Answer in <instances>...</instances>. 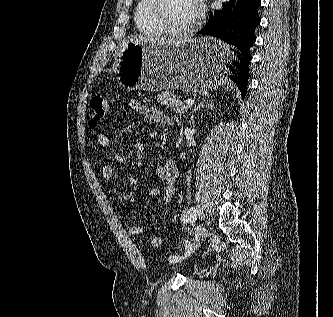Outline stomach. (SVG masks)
Wrapping results in <instances>:
<instances>
[{"label": "stomach", "instance_id": "1", "mask_svg": "<svg viewBox=\"0 0 333 317\" xmlns=\"http://www.w3.org/2000/svg\"><path fill=\"white\" fill-rule=\"evenodd\" d=\"M233 61L231 45L211 38H191L180 46L129 42L121 45L111 71L128 90L202 92L230 88L221 62Z\"/></svg>", "mask_w": 333, "mask_h": 317}]
</instances>
